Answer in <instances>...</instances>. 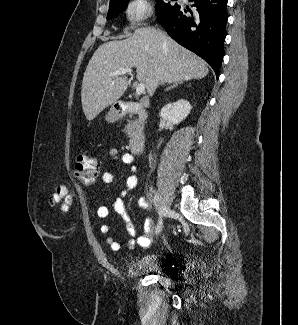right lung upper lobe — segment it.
Instances as JSON below:
<instances>
[{"label": "right lung upper lobe", "mask_w": 298, "mask_h": 325, "mask_svg": "<svg viewBox=\"0 0 298 325\" xmlns=\"http://www.w3.org/2000/svg\"><path fill=\"white\" fill-rule=\"evenodd\" d=\"M113 1H115V0H110V2H113Z\"/></svg>", "instance_id": "obj_1"}]
</instances>
